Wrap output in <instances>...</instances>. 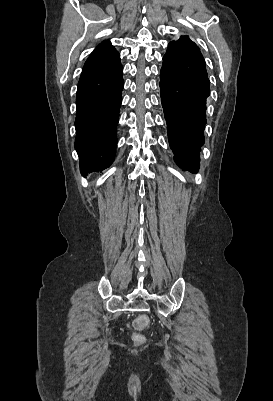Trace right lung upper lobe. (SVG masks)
<instances>
[{
    "label": "right lung upper lobe",
    "instance_id": "right-lung-upper-lobe-1",
    "mask_svg": "<svg viewBox=\"0 0 273 401\" xmlns=\"http://www.w3.org/2000/svg\"><path fill=\"white\" fill-rule=\"evenodd\" d=\"M120 58L119 53L109 41H104L93 51L87 59L82 74H86L97 69L112 64Z\"/></svg>",
    "mask_w": 273,
    "mask_h": 401
}]
</instances>
